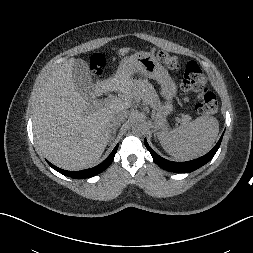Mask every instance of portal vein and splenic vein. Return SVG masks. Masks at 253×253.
<instances>
[{"label": "portal vein and splenic vein", "instance_id": "18ae733b", "mask_svg": "<svg viewBox=\"0 0 253 253\" xmlns=\"http://www.w3.org/2000/svg\"><path fill=\"white\" fill-rule=\"evenodd\" d=\"M97 106H101L102 105V102H97V103H95ZM185 119H191V117L190 116H188V115H184V118H182V119H179V118H177L176 120H177V122H182V121H184Z\"/></svg>", "mask_w": 253, "mask_h": 253}]
</instances>
